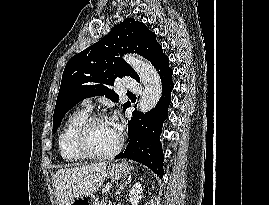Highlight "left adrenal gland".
Segmentation results:
<instances>
[{"mask_svg":"<svg viewBox=\"0 0 269 205\" xmlns=\"http://www.w3.org/2000/svg\"><path fill=\"white\" fill-rule=\"evenodd\" d=\"M131 182V176L124 182H122L121 184H119L117 187H118V190L116 192V194H120L121 191L125 188V186H127L129 183Z\"/></svg>","mask_w":269,"mask_h":205,"instance_id":"a2214340","label":"left adrenal gland"}]
</instances>
